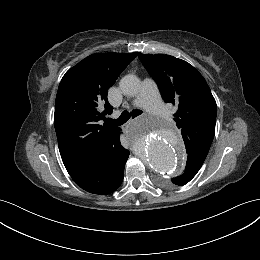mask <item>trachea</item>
Listing matches in <instances>:
<instances>
[{"mask_svg":"<svg viewBox=\"0 0 260 260\" xmlns=\"http://www.w3.org/2000/svg\"><path fill=\"white\" fill-rule=\"evenodd\" d=\"M140 114H142V111L137 109L132 110V112L130 113L127 111H123L118 119L115 120V119L107 118L106 122L111 125L121 126L122 124L127 122L130 119V117L135 118Z\"/></svg>","mask_w":260,"mask_h":260,"instance_id":"trachea-1","label":"trachea"}]
</instances>
